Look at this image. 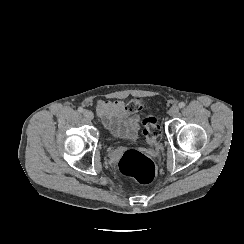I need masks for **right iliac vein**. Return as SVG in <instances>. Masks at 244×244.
I'll return each mask as SVG.
<instances>
[{
	"label": "right iliac vein",
	"instance_id": "right-iliac-vein-1",
	"mask_svg": "<svg viewBox=\"0 0 244 244\" xmlns=\"http://www.w3.org/2000/svg\"><path fill=\"white\" fill-rule=\"evenodd\" d=\"M83 114L87 120H92L94 118V114L90 110H85Z\"/></svg>",
	"mask_w": 244,
	"mask_h": 244
}]
</instances>
